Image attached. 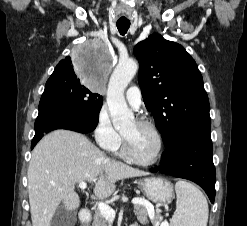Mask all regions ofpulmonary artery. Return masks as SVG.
<instances>
[{
	"instance_id": "e3ab8cb5",
	"label": "pulmonary artery",
	"mask_w": 247,
	"mask_h": 226,
	"mask_svg": "<svg viewBox=\"0 0 247 226\" xmlns=\"http://www.w3.org/2000/svg\"><path fill=\"white\" fill-rule=\"evenodd\" d=\"M127 102L134 109H138L142 103V97L140 89L137 86H131L126 91Z\"/></svg>"
}]
</instances>
